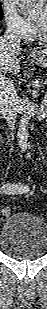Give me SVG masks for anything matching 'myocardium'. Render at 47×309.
I'll return each instance as SVG.
<instances>
[{"mask_svg":"<svg viewBox=\"0 0 47 309\" xmlns=\"http://www.w3.org/2000/svg\"><path fill=\"white\" fill-rule=\"evenodd\" d=\"M42 32L40 31V29H37V34H41Z\"/></svg>","mask_w":47,"mask_h":309,"instance_id":"1","label":"myocardium"}]
</instances>
